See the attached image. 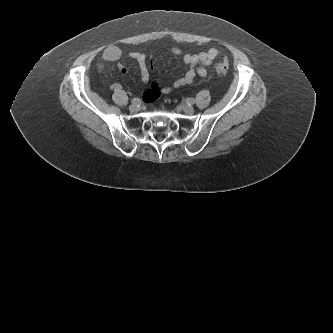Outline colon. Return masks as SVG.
I'll return each mask as SVG.
<instances>
[{
  "instance_id": "1",
  "label": "colon",
  "mask_w": 333,
  "mask_h": 333,
  "mask_svg": "<svg viewBox=\"0 0 333 333\" xmlns=\"http://www.w3.org/2000/svg\"><path fill=\"white\" fill-rule=\"evenodd\" d=\"M229 64L227 61H222L216 65V70L219 74H225L228 71Z\"/></svg>"
}]
</instances>
